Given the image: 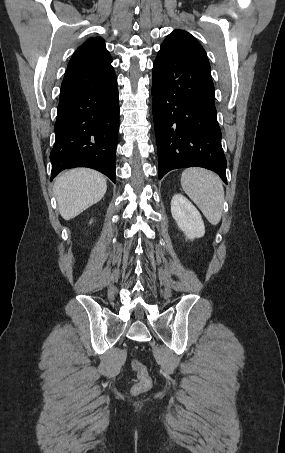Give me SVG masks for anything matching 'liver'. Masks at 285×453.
Wrapping results in <instances>:
<instances>
[{
  "mask_svg": "<svg viewBox=\"0 0 285 453\" xmlns=\"http://www.w3.org/2000/svg\"><path fill=\"white\" fill-rule=\"evenodd\" d=\"M107 190L106 178L87 168H76L61 173L55 180L54 194L65 220H70L99 202Z\"/></svg>",
  "mask_w": 285,
  "mask_h": 453,
  "instance_id": "obj_1",
  "label": "liver"
}]
</instances>
